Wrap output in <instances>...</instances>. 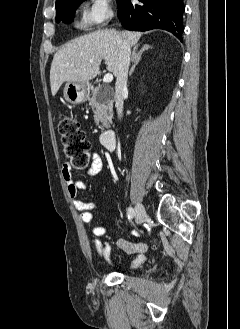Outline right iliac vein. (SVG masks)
<instances>
[{
    "instance_id": "obj_1",
    "label": "right iliac vein",
    "mask_w": 240,
    "mask_h": 329,
    "mask_svg": "<svg viewBox=\"0 0 240 329\" xmlns=\"http://www.w3.org/2000/svg\"><path fill=\"white\" fill-rule=\"evenodd\" d=\"M147 217L146 210L141 203H138L135 207V221L138 225L143 223Z\"/></svg>"
}]
</instances>
